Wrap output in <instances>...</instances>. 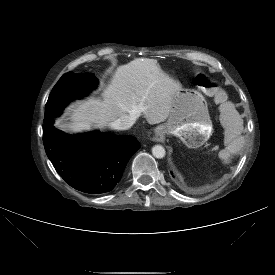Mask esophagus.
Wrapping results in <instances>:
<instances>
[{
  "label": "esophagus",
  "mask_w": 275,
  "mask_h": 275,
  "mask_svg": "<svg viewBox=\"0 0 275 275\" xmlns=\"http://www.w3.org/2000/svg\"><path fill=\"white\" fill-rule=\"evenodd\" d=\"M162 129H163V128L159 127V128L156 129L155 132H156L157 134L161 135V134L163 133V130H162Z\"/></svg>",
  "instance_id": "esophagus-1"
}]
</instances>
